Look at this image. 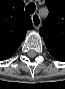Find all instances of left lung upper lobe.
Segmentation results:
<instances>
[{
    "mask_svg": "<svg viewBox=\"0 0 65 89\" xmlns=\"http://www.w3.org/2000/svg\"><path fill=\"white\" fill-rule=\"evenodd\" d=\"M49 16L39 33L44 40L65 45V0H45Z\"/></svg>",
    "mask_w": 65,
    "mask_h": 89,
    "instance_id": "obj_1",
    "label": "left lung upper lobe"
}]
</instances>
